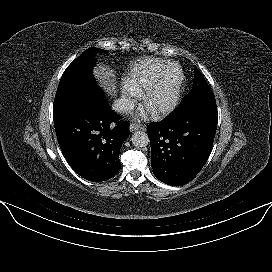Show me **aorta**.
Wrapping results in <instances>:
<instances>
[{
  "instance_id": "1",
  "label": "aorta",
  "mask_w": 272,
  "mask_h": 272,
  "mask_svg": "<svg viewBox=\"0 0 272 272\" xmlns=\"http://www.w3.org/2000/svg\"><path fill=\"white\" fill-rule=\"evenodd\" d=\"M131 141L135 147L143 148L149 144V137L148 134L144 131H136L133 133Z\"/></svg>"
}]
</instances>
